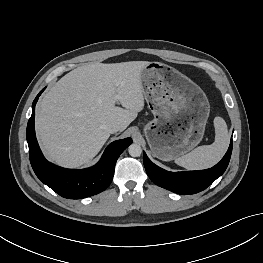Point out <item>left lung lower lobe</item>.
I'll use <instances>...</instances> for the list:
<instances>
[{
    "label": "left lung lower lobe",
    "mask_w": 263,
    "mask_h": 263,
    "mask_svg": "<svg viewBox=\"0 0 263 263\" xmlns=\"http://www.w3.org/2000/svg\"><path fill=\"white\" fill-rule=\"evenodd\" d=\"M233 142L231 139L228 151L214 167L199 171L169 172L154 163L143 153V162L149 178L158 186L177 194L189 195L198 193L211 185L226 170Z\"/></svg>",
    "instance_id": "0a47b994"
}]
</instances>
